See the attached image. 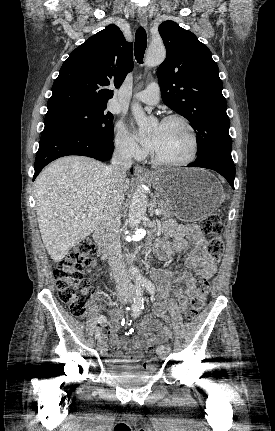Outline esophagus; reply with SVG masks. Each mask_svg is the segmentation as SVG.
Masks as SVG:
<instances>
[{
	"label": "esophagus",
	"mask_w": 275,
	"mask_h": 431,
	"mask_svg": "<svg viewBox=\"0 0 275 431\" xmlns=\"http://www.w3.org/2000/svg\"><path fill=\"white\" fill-rule=\"evenodd\" d=\"M138 18H139L140 22L143 24V26L147 28V12L145 9H143V8L138 9ZM135 174L138 176L139 175H143V176H151L152 175V173L150 171L144 169L140 165H136Z\"/></svg>",
	"instance_id": "esophagus-1"
}]
</instances>
